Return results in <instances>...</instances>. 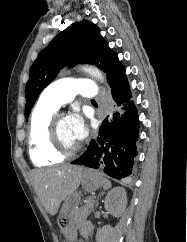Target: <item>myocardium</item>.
Returning <instances> with one entry per match:
<instances>
[{"label": "myocardium", "mask_w": 187, "mask_h": 242, "mask_svg": "<svg viewBox=\"0 0 187 242\" xmlns=\"http://www.w3.org/2000/svg\"><path fill=\"white\" fill-rule=\"evenodd\" d=\"M63 118H66L64 113H55L52 116L47 127V142L50 150L54 154L62 158H69L71 156H74L80 151L81 145L78 144L75 148L70 150H65L60 146L58 142V136H57V125H58V122Z\"/></svg>", "instance_id": "obj_1"}]
</instances>
